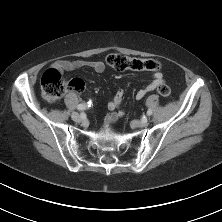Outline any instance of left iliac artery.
I'll return each instance as SVG.
<instances>
[{
  "label": "left iliac artery",
  "mask_w": 222,
  "mask_h": 222,
  "mask_svg": "<svg viewBox=\"0 0 222 222\" xmlns=\"http://www.w3.org/2000/svg\"><path fill=\"white\" fill-rule=\"evenodd\" d=\"M151 114H152V110L149 109V110L147 111V115L150 116Z\"/></svg>",
  "instance_id": "1"
}]
</instances>
